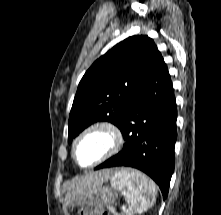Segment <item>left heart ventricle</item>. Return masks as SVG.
Wrapping results in <instances>:
<instances>
[{
  "mask_svg": "<svg viewBox=\"0 0 221 215\" xmlns=\"http://www.w3.org/2000/svg\"><path fill=\"white\" fill-rule=\"evenodd\" d=\"M106 140L99 134L85 138L77 148V159L81 164H89L95 160L104 150Z\"/></svg>",
  "mask_w": 221,
  "mask_h": 215,
  "instance_id": "left-heart-ventricle-1",
  "label": "left heart ventricle"
}]
</instances>
